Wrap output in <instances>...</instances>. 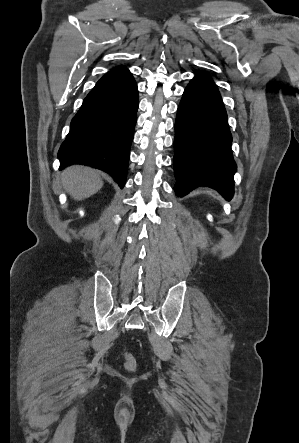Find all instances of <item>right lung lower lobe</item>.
<instances>
[{
    "label": "right lung lower lobe",
    "mask_w": 299,
    "mask_h": 443,
    "mask_svg": "<svg viewBox=\"0 0 299 443\" xmlns=\"http://www.w3.org/2000/svg\"><path fill=\"white\" fill-rule=\"evenodd\" d=\"M138 103L137 84L128 69L105 74L72 119L58 152L60 170L75 163L91 165L109 173L123 188Z\"/></svg>",
    "instance_id": "1"
}]
</instances>
